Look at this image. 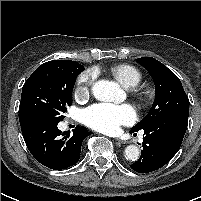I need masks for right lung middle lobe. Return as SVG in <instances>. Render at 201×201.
<instances>
[{
	"mask_svg": "<svg viewBox=\"0 0 201 201\" xmlns=\"http://www.w3.org/2000/svg\"><path fill=\"white\" fill-rule=\"evenodd\" d=\"M84 66L71 60H53L39 66L27 79L19 106L20 125L35 118L62 121L72 104V91Z\"/></svg>",
	"mask_w": 201,
	"mask_h": 201,
	"instance_id": "obj_1",
	"label": "right lung middle lobe"
}]
</instances>
